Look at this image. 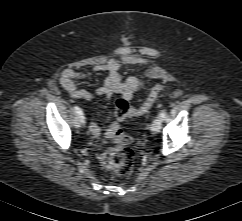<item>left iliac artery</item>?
Here are the masks:
<instances>
[{"mask_svg":"<svg viewBox=\"0 0 242 221\" xmlns=\"http://www.w3.org/2000/svg\"><path fill=\"white\" fill-rule=\"evenodd\" d=\"M166 117V112L165 111H162L160 114H159V120L160 122H162L164 120V118Z\"/></svg>","mask_w":242,"mask_h":221,"instance_id":"1","label":"left iliac artery"}]
</instances>
